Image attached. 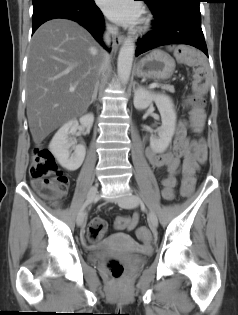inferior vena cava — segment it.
I'll list each match as a JSON object with an SVG mask.
<instances>
[{
  "instance_id": "1",
  "label": "inferior vena cava",
  "mask_w": 238,
  "mask_h": 315,
  "mask_svg": "<svg viewBox=\"0 0 238 315\" xmlns=\"http://www.w3.org/2000/svg\"><path fill=\"white\" fill-rule=\"evenodd\" d=\"M117 33V28L112 26L106 27V32L104 34V41L107 45H110L111 43V36ZM110 57L107 53L104 54L103 62L100 66L99 73L103 72L106 67L109 65Z\"/></svg>"
}]
</instances>
